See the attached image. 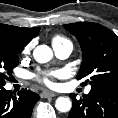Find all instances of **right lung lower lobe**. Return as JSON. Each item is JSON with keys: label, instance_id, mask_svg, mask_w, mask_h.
<instances>
[{"label": "right lung lower lobe", "instance_id": "right-lung-lower-lobe-1", "mask_svg": "<svg viewBox=\"0 0 118 118\" xmlns=\"http://www.w3.org/2000/svg\"><path fill=\"white\" fill-rule=\"evenodd\" d=\"M39 99V95L30 90L22 89L16 96L0 86V118H30Z\"/></svg>", "mask_w": 118, "mask_h": 118}]
</instances>
